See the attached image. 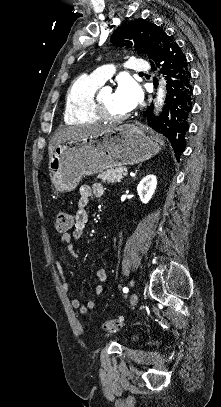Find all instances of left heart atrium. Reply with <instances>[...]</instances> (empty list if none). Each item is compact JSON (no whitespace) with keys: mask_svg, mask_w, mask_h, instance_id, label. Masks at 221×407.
Wrapping results in <instances>:
<instances>
[{"mask_svg":"<svg viewBox=\"0 0 221 407\" xmlns=\"http://www.w3.org/2000/svg\"><path fill=\"white\" fill-rule=\"evenodd\" d=\"M115 93L121 104L128 111L134 109L143 98L141 88L131 77H121Z\"/></svg>","mask_w":221,"mask_h":407,"instance_id":"obj_1","label":"left heart atrium"}]
</instances>
